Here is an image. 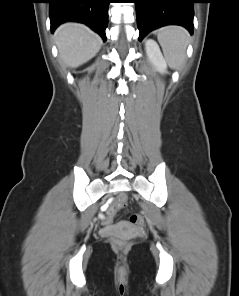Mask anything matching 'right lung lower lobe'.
<instances>
[{"label": "right lung lower lobe", "mask_w": 239, "mask_h": 296, "mask_svg": "<svg viewBox=\"0 0 239 296\" xmlns=\"http://www.w3.org/2000/svg\"><path fill=\"white\" fill-rule=\"evenodd\" d=\"M109 0H48L51 31L64 22L88 25L106 40Z\"/></svg>", "instance_id": "1"}]
</instances>
